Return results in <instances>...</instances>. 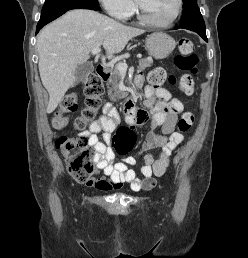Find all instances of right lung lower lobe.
Masks as SVG:
<instances>
[{
    "instance_id": "98d812e1",
    "label": "right lung lower lobe",
    "mask_w": 248,
    "mask_h": 258,
    "mask_svg": "<svg viewBox=\"0 0 248 258\" xmlns=\"http://www.w3.org/2000/svg\"><path fill=\"white\" fill-rule=\"evenodd\" d=\"M71 9H91L95 11H99L100 7L99 5L91 4V3H81V4H76L71 7L63 8L61 10L55 11L53 13H50L48 15L40 17V20L38 22L37 28H36V34L40 31V29L48 24L49 22L53 21L54 19L58 18L62 14H64L66 11L71 10Z\"/></svg>"
}]
</instances>
